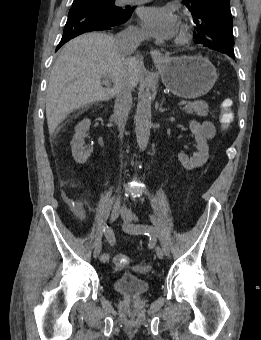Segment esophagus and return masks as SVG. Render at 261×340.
I'll use <instances>...</instances> for the list:
<instances>
[{
    "label": "esophagus",
    "mask_w": 261,
    "mask_h": 340,
    "mask_svg": "<svg viewBox=\"0 0 261 340\" xmlns=\"http://www.w3.org/2000/svg\"><path fill=\"white\" fill-rule=\"evenodd\" d=\"M150 53L155 62H162L165 59L164 55L158 49H152Z\"/></svg>",
    "instance_id": "1"
}]
</instances>
